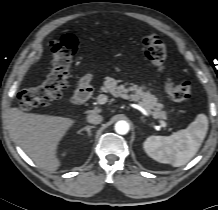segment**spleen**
<instances>
[{"label": "spleen", "instance_id": "3e777b00", "mask_svg": "<svg viewBox=\"0 0 218 210\" xmlns=\"http://www.w3.org/2000/svg\"><path fill=\"white\" fill-rule=\"evenodd\" d=\"M208 131V118L200 113L186 129L170 136H150L143 148L152 159L179 167L188 163L198 152Z\"/></svg>", "mask_w": 218, "mask_h": 210}]
</instances>
